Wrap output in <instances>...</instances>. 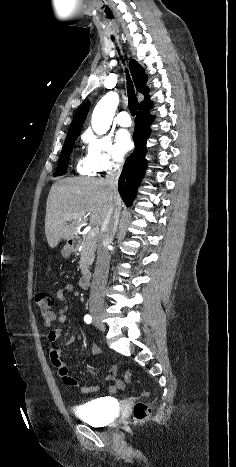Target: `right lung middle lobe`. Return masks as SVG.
<instances>
[{
  "instance_id": "right-lung-middle-lobe-1",
  "label": "right lung middle lobe",
  "mask_w": 236,
  "mask_h": 467,
  "mask_svg": "<svg viewBox=\"0 0 236 467\" xmlns=\"http://www.w3.org/2000/svg\"><path fill=\"white\" fill-rule=\"evenodd\" d=\"M78 135L79 133L67 135L54 176H60L66 173L69 157Z\"/></svg>"
}]
</instances>
